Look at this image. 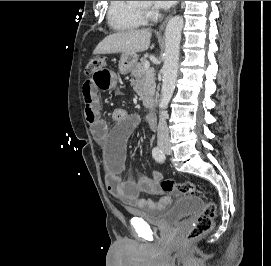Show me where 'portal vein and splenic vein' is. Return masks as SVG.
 <instances>
[{
    "instance_id": "obj_1",
    "label": "portal vein and splenic vein",
    "mask_w": 271,
    "mask_h": 266,
    "mask_svg": "<svg viewBox=\"0 0 271 266\" xmlns=\"http://www.w3.org/2000/svg\"><path fill=\"white\" fill-rule=\"evenodd\" d=\"M150 68V63L147 61L144 64V69H149Z\"/></svg>"
}]
</instances>
